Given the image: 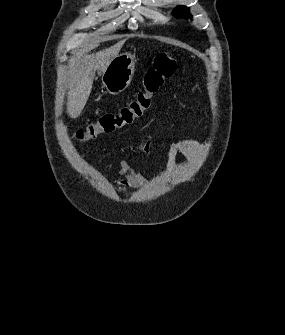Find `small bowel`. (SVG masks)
I'll return each instance as SVG.
<instances>
[{
	"mask_svg": "<svg viewBox=\"0 0 285 335\" xmlns=\"http://www.w3.org/2000/svg\"><path fill=\"white\" fill-rule=\"evenodd\" d=\"M141 150L146 153H152L156 150V144L151 135H144L137 142L132 144L124 153L123 156ZM200 150L199 144L192 139H182L175 143H171L166 150L165 165L167 169H171L175 158L182 155L190 160H195ZM119 171L122 179L118 181L117 185L120 190L139 189L143 185V177L137 168H133L128 162L121 157L118 160Z\"/></svg>",
	"mask_w": 285,
	"mask_h": 335,
	"instance_id": "obj_1",
	"label": "small bowel"
}]
</instances>
